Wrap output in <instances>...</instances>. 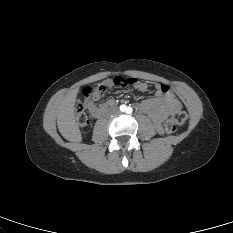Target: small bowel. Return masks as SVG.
I'll use <instances>...</instances> for the list:
<instances>
[{
	"label": "small bowel",
	"instance_id": "obj_1",
	"mask_svg": "<svg viewBox=\"0 0 233 233\" xmlns=\"http://www.w3.org/2000/svg\"><path fill=\"white\" fill-rule=\"evenodd\" d=\"M106 82H109V81H106ZM133 86L135 89L142 91V92L148 89V85L140 81H136ZM154 90H155L154 98L142 100L141 102L136 104V107L141 113L147 114L153 121L156 131L159 133H162L163 121L172 112L179 110L181 108V103L175 98L169 86L165 84L156 83L154 85ZM107 103L114 104V100L109 99L105 103H102L99 105H96L94 103L90 111L94 112Z\"/></svg>",
	"mask_w": 233,
	"mask_h": 233
}]
</instances>
